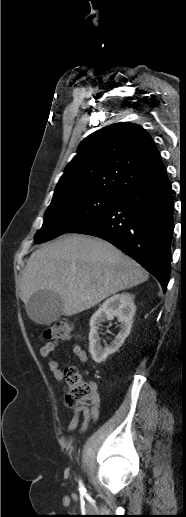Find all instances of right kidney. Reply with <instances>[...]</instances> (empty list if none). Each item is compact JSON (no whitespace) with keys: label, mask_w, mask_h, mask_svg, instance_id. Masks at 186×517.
<instances>
[{"label":"right kidney","mask_w":186,"mask_h":517,"mask_svg":"<svg viewBox=\"0 0 186 517\" xmlns=\"http://www.w3.org/2000/svg\"><path fill=\"white\" fill-rule=\"evenodd\" d=\"M134 296L130 293L117 294L107 299L90 319L89 352L96 363H101L115 353L124 343L131 331L136 311ZM117 317L121 330L109 346L102 347L98 330L102 322Z\"/></svg>","instance_id":"ca27d5eb"}]
</instances>
